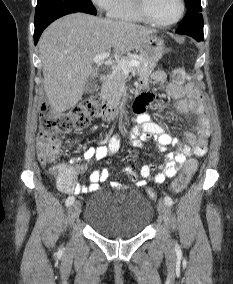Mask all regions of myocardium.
Instances as JSON below:
<instances>
[{
	"instance_id": "f54148a6",
	"label": "myocardium",
	"mask_w": 233,
	"mask_h": 284,
	"mask_svg": "<svg viewBox=\"0 0 233 284\" xmlns=\"http://www.w3.org/2000/svg\"><path fill=\"white\" fill-rule=\"evenodd\" d=\"M178 1H179V6H180L179 13H178V15L175 19H173L172 21H169V22H160L152 16V14L150 13L149 8H148V0H136V6H137L139 13L142 15V17L147 22H150V23H152L156 26H159V27H169V26H172V25L178 23L182 19L183 15L185 13V2H184V0H178Z\"/></svg>"
}]
</instances>
